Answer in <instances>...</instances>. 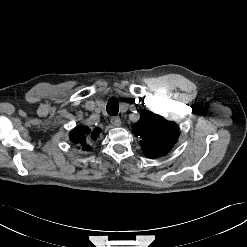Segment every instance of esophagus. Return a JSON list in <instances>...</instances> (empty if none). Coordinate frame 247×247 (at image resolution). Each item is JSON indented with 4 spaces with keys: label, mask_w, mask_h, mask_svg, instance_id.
Returning <instances> with one entry per match:
<instances>
[{
    "label": "esophagus",
    "mask_w": 247,
    "mask_h": 247,
    "mask_svg": "<svg viewBox=\"0 0 247 247\" xmlns=\"http://www.w3.org/2000/svg\"><path fill=\"white\" fill-rule=\"evenodd\" d=\"M111 123L114 125V126H120L121 125V120L118 116H113L111 117Z\"/></svg>",
    "instance_id": "1"
}]
</instances>
